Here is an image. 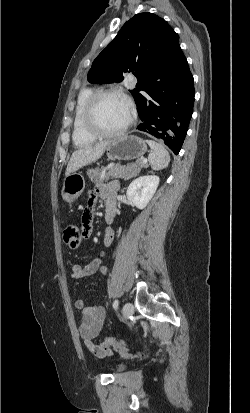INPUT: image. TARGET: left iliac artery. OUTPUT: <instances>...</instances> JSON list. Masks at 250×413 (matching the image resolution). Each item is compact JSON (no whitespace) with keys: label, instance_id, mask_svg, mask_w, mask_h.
<instances>
[{"label":"left iliac artery","instance_id":"obj_1","mask_svg":"<svg viewBox=\"0 0 250 413\" xmlns=\"http://www.w3.org/2000/svg\"><path fill=\"white\" fill-rule=\"evenodd\" d=\"M118 305H119V301H118V300H115V301L113 302V308L116 310V309L118 308Z\"/></svg>","mask_w":250,"mask_h":413}]
</instances>
